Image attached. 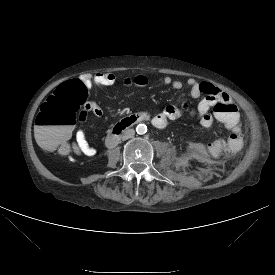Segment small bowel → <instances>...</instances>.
Wrapping results in <instances>:
<instances>
[{
  "label": "small bowel",
  "mask_w": 275,
  "mask_h": 275,
  "mask_svg": "<svg viewBox=\"0 0 275 275\" xmlns=\"http://www.w3.org/2000/svg\"><path fill=\"white\" fill-rule=\"evenodd\" d=\"M81 81L88 87L107 86L115 81V77L111 73H97L94 75H84ZM161 84L170 86L176 90L183 88L180 80L173 79L170 76H161L159 78ZM188 87L187 95L191 98H202L194 107L187 104L183 106L170 105L163 110L158 106H151L146 112L142 111L138 114H144L146 120L151 122L156 128L163 129L168 122L181 117L184 113H188L190 117L197 120L201 128H210L216 119L215 112H212L218 102L231 101L230 97L224 91L216 88L208 82H199L195 79H188L186 82ZM87 112H91L94 116L100 118L103 115L102 109L96 104H87L85 107ZM230 137L218 135L209 141L206 146V153L211 158L230 157L242 151L244 142L241 137V124L235 129L229 130ZM77 149L87 156L96 154V148L88 141L86 134L82 128L76 133Z\"/></svg>",
  "instance_id": "1"
}]
</instances>
